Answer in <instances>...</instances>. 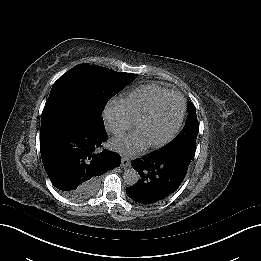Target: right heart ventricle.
Wrapping results in <instances>:
<instances>
[{"instance_id":"e07e8e85","label":"right heart ventricle","mask_w":261,"mask_h":261,"mask_svg":"<svg viewBox=\"0 0 261 261\" xmlns=\"http://www.w3.org/2000/svg\"><path fill=\"white\" fill-rule=\"evenodd\" d=\"M172 95L171 90L159 84H150L129 93L118 102L117 107L124 119L134 120L151 108L169 100Z\"/></svg>"}]
</instances>
